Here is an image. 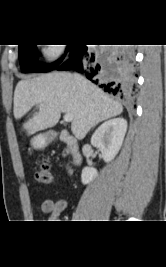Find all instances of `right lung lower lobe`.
I'll use <instances>...</instances> for the list:
<instances>
[{"label":"right lung lower lobe","instance_id":"right-lung-lower-lobe-1","mask_svg":"<svg viewBox=\"0 0 166 267\" xmlns=\"http://www.w3.org/2000/svg\"><path fill=\"white\" fill-rule=\"evenodd\" d=\"M70 60L58 70L75 69L105 92L128 99L134 90L133 52L129 47H114L103 52L87 45H72ZM61 63V62H60Z\"/></svg>","mask_w":166,"mask_h":267}]
</instances>
